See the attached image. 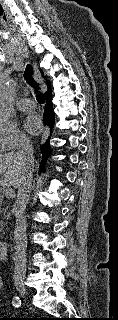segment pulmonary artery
Segmentation results:
<instances>
[{
  "instance_id": "pulmonary-artery-1",
  "label": "pulmonary artery",
  "mask_w": 118,
  "mask_h": 320,
  "mask_svg": "<svg viewBox=\"0 0 118 320\" xmlns=\"http://www.w3.org/2000/svg\"><path fill=\"white\" fill-rule=\"evenodd\" d=\"M17 107L20 111H32L33 109H35L36 104L31 99H21L18 102Z\"/></svg>"
}]
</instances>
